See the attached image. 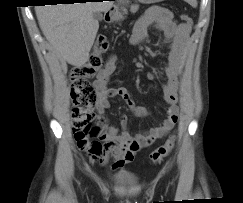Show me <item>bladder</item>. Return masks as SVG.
Returning <instances> with one entry per match:
<instances>
[{
    "label": "bladder",
    "instance_id": "bladder-1",
    "mask_svg": "<svg viewBox=\"0 0 243 203\" xmlns=\"http://www.w3.org/2000/svg\"><path fill=\"white\" fill-rule=\"evenodd\" d=\"M111 180L118 184H130L133 183L137 176L131 171H118L111 175Z\"/></svg>",
    "mask_w": 243,
    "mask_h": 203
}]
</instances>
